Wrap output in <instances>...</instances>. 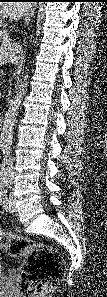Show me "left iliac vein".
<instances>
[{
    "label": "left iliac vein",
    "mask_w": 107,
    "mask_h": 297,
    "mask_svg": "<svg viewBox=\"0 0 107 297\" xmlns=\"http://www.w3.org/2000/svg\"><path fill=\"white\" fill-rule=\"evenodd\" d=\"M4 209L8 212H14L16 210L12 196H9L7 198L6 204L4 205Z\"/></svg>",
    "instance_id": "left-iliac-vein-1"
}]
</instances>
